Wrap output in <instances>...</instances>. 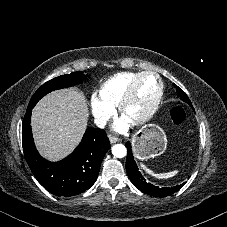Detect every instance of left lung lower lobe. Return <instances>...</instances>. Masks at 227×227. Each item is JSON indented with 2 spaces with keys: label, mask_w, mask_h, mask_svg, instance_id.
Returning <instances> with one entry per match:
<instances>
[{
  "label": "left lung lower lobe",
  "mask_w": 227,
  "mask_h": 227,
  "mask_svg": "<svg viewBox=\"0 0 227 227\" xmlns=\"http://www.w3.org/2000/svg\"><path fill=\"white\" fill-rule=\"evenodd\" d=\"M125 145L128 150L127 160H126L127 174L131 182L134 184L136 188L151 196L166 197L177 192L183 187L185 183L175 187H162V188L154 186L151 183H148L146 179L142 176V174L139 172L137 164L134 161L130 142H127Z\"/></svg>",
  "instance_id": "left-lung-lower-lobe-1"
}]
</instances>
